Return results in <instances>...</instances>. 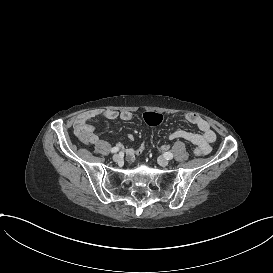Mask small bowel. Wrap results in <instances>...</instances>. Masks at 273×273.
<instances>
[{
  "label": "small bowel",
  "mask_w": 273,
  "mask_h": 273,
  "mask_svg": "<svg viewBox=\"0 0 273 273\" xmlns=\"http://www.w3.org/2000/svg\"><path fill=\"white\" fill-rule=\"evenodd\" d=\"M104 117L108 120H121L128 122L133 118V114L128 110L117 111L108 109L105 111H88L82 117H80L73 124V130L78 141L91 144V147L95 151H99L102 154L108 152L109 147L107 144L100 139L99 134L91 126L95 122V118ZM185 120L190 124L196 126L199 130L198 133L191 132L184 129H176L169 133L168 138L183 139L192 143L196 150L200 152L201 155H207L211 152V144L216 140V134L213 131L210 123L202 118L201 116L188 113L185 115ZM129 140H133L134 136L132 134L128 135ZM137 158L135 150H132L127 155V160L129 162H134Z\"/></svg>",
  "instance_id": "obj_1"
}]
</instances>
